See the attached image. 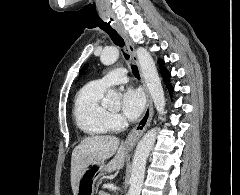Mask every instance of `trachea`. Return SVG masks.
I'll list each match as a JSON object with an SVG mask.
<instances>
[{
	"label": "trachea",
	"mask_w": 240,
	"mask_h": 195,
	"mask_svg": "<svg viewBox=\"0 0 240 195\" xmlns=\"http://www.w3.org/2000/svg\"><path fill=\"white\" fill-rule=\"evenodd\" d=\"M101 29L104 30V32H106L109 35V37L115 43V45H117L120 48L124 47L123 38L119 35V33L116 30H114V28H112L110 25H106L102 26ZM123 55L126 58V60L129 59V55H127V53L123 52ZM131 68L133 75H135L136 78H140L139 70L136 67V65H132Z\"/></svg>",
	"instance_id": "obj_1"
}]
</instances>
